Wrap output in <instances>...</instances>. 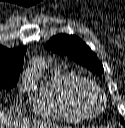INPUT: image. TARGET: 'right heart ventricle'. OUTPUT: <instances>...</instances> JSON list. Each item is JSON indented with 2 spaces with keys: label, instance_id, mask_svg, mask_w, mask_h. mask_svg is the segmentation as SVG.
I'll return each instance as SVG.
<instances>
[{
  "label": "right heart ventricle",
  "instance_id": "e07e8e85",
  "mask_svg": "<svg viewBox=\"0 0 125 128\" xmlns=\"http://www.w3.org/2000/svg\"><path fill=\"white\" fill-rule=\"evenodd\" d=\"M81 77L72 71L55 67L33 100L35 113L66 122L79 123L87 114L77 96Z\"/></svg>",
  "mask_w": 125,
  "mask_h": 128
}]
</instances>
